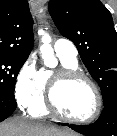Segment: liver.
Masks as SVG:
<instances>
[{"instance_id":"liver-1","label":"liver","mask_w":117,"mask_h":136,"mask_svg":"<svg viewBox=\"0 0 117 136\" xmlns=\"http://www.w3.org/2000/svg\"><path fill=\"white\" fill-rule=\"evenodd\" d=\"M0 136H78L72 131L14 117L0 123Z\"/></svg>"}]
</instances>
